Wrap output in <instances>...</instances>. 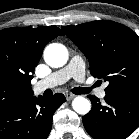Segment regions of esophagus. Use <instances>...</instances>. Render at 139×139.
Listing matches in <instances>:
<instances>
[{"label": "esophagus", "mask_w": 139, "mask_h": 139, "mask_svg": "<svg viewBox=\"0 0 139 139\" xmlns=\"http://www.w3.org/2000/svg\"><path fill=\"white\" fill-rule=\"evenodd\" d=\"M65 97H66V99L68 100V101H70V100H72L74 97H75V95L74 94H72V93H66L65 94Z\"/></svg>", "instance_id": "esophagus-1"}]
</instances>
